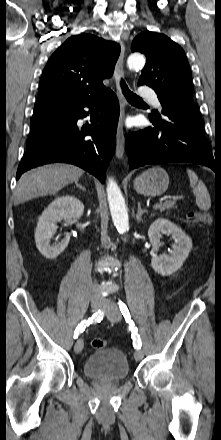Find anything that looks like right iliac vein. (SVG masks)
<instances>
[{"instance_id":"obj_1","label":"right iliac vein","mask_w":221,"mask_h":440,"mask_svg":"<svg viewBox=\"0 0 221 440\" xmlns=\"http://www.w3.org/2000/svg\"><path fill=\"white\" fill-rule=\"evenodd\" d=\"M91 307H92V309L94 311H96V310H98V309H100L102 307V302L97 300V299H95V298H92L91 299ZM83 346H84L83 340L82 339H78L76 341V343H75L74 351L76 353H80L83 350Z\"/></svg>"}]
</instances>
